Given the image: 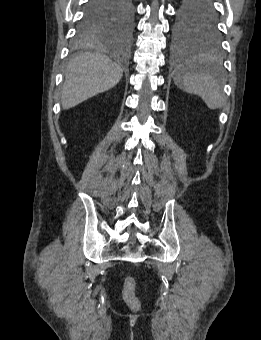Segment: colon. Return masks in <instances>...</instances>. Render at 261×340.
I'll list each match as a JSON object with an SVG mask.
<instances>
[{"label": "colon", "instance_id": "obj_1", "mask_svg": "<svg viewBox=\"0 0 261 340\" xmlns=\"http://www.w3.org/2000/svg\"><path fill=\"white\" fill-rule=\"evenodd\" d=\"M136 283L132 276H126L123 283L122 297L125 303L132 309L137 310L140 302L135 293Z\"/></svg>", "mask_w": 261, "mask_h": 340}]
</instances>
